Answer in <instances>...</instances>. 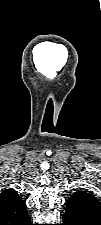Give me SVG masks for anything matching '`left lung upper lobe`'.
I'll return each mask as SVG.
<instances>
[{"label":"left lung upper lobe","mask_w":101,"mask_h":225,"mask_svg":"<svg viewBox=\"0 0 101 225\" xmlns=\"http://www.w3.org/2000/svg\"><path fill=\"white\" fill-rule=\"evenodd\" d=\"M66 210L84 212L94 216H101V203L93 195L85 191H76L68 199Z\"/></svg>","instance_id":"left-lung-upper-lobe-1"}]
</instances>
